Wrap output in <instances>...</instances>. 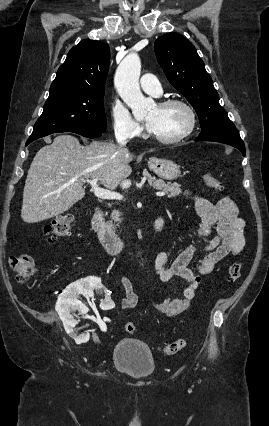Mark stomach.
Masks as SVG:
<instances>
[{
  "mask_svg": "<svg viewBox=\"0 0 269 426\" xmlns=\"http://www.w3.org/2000/svg\"><path fill=\"white\" fill-rule=\"evenodd\" d=\"M148 167L157 176L169 181L177 179L181 174L179 166L171 160L151 158Z\"/></svg>",
  "mask_w": 269,
  "mask_h": 426,
  "instance_id": "1",
  "label": "stomach"
}]
</instances>
